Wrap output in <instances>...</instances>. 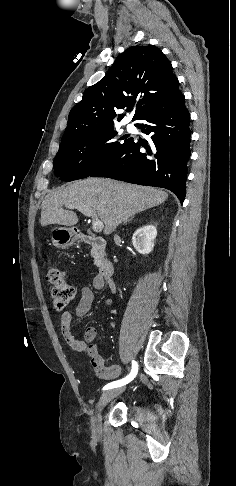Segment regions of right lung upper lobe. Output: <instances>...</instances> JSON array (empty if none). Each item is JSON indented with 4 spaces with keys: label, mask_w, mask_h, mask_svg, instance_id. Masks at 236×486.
<instances>
[{
    "label": "right lung upper lobe",
    "mask_w": 236,
    "mask_h": 486,
    "mask_svg": "<svg viewBox=\"0 0 236 486\" xmlns=\"http://www.w3.org/2000/svg\"><path fill=\"white\" fill-rule=\"evenodd\" d=\"M172 69L170 61L153 45L124 51L70 111L61 144L112 127L115 110L129 111L138 99L133 120L151 105L177 98L182 93ZM123 117L119 115L118 121Z\"/></svg>",
    "instance_id": "right-lung-upper-lobe-1"
}]
</instances>
